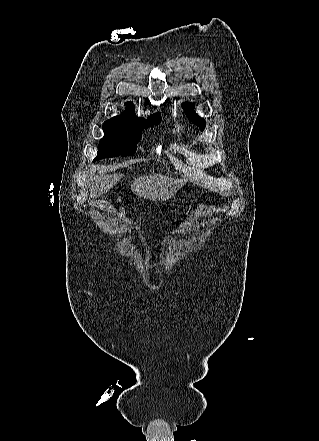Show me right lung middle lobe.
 <instances>
[{
    "mask_svg": "<svg viewBox=\"0 0 319 441\" xmlns=\"http://www.w3.org/2000/svg\"><path fill=\"white\" fill-rule=\"evenodd\" d=\"M135 111H126L103 124L104 137L99 142V150L94 160L108 157L129 156L135 153L142 130L161 121L160 113L151 115L148 120L137 117Z\"/></svg>",
    "mask_w": 319,
    "mask_h": 441,
    "instance_id": "right-lung-middle-lobe-1",
    "label": "right lung middle lobe"
}]
</instances>
